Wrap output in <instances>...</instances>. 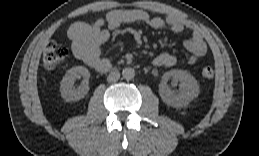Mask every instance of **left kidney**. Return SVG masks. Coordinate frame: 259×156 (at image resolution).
<instances>
[{"instance_id":"1","label":"left kidney","mask_w":259,"mask_h":156,"mask_svg":"<svg viewBox=\"0 0 259 156\" xmlns=\"http://www.w3.org/2000/svg\"><path fill=\"white\" fill-rule=\"evenodd\" d=\"M180 81L179 92H173L168 87V80ZM159 94L164 103L172 107H184L199 94V84L189 72L170 70L165 72L159 85Z\"/></svg>"}]
</instances>
